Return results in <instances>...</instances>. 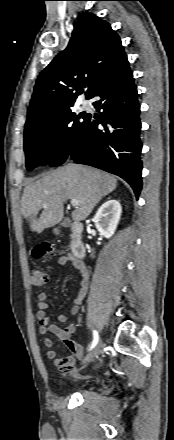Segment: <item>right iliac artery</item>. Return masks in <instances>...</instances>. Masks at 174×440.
<instances>
[{
  "instance_id": "obj_1",
  "label": "right iliac artery",
  "mask_w": 174,
  "mask_h": 440,
  "mask_svg": "<svg viewBox=\"0 0 174 440\" xmlns=\"http://www.w3.org/2000/svg\"><path fill=\"white\" fill-rule=\"evenodd\" d=\"M98 340H99L98 333L96 330H94L93 331V343H92V346L90 347V350L96 346V344L98 343Z\"/></svg>"
}]
</instances>
